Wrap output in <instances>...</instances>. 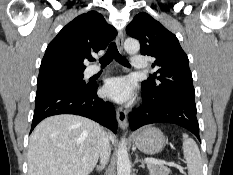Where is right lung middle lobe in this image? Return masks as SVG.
Masks as SVG:
<instances>
[{"instance_id":"dd1d6c3e","label":"right lung middle lobe","mask_w":233,"mask_h":175,"mask_svg":"<svg viewBox=\"0 0 233 175\" xmlns=\"http://www.w3.org/2000/svg\"><path fill=\"white\" fill-rule=\"evenodd\" d=\"M88 84L83 80L82 73L53 75L37 80V93L58 88H84Z\"/></svg>"}]
</instances>
